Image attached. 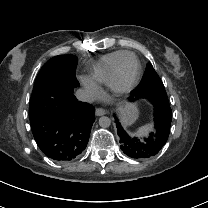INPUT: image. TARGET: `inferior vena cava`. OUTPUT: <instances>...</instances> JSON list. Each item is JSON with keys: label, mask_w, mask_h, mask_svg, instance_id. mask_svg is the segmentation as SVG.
I'll return each mask as SVG.
<instances>
[{"label": "inferior vena cava", "mask_w": 208, "mask_h": 208, "mask_svg": "<svg viewBox=\"0 0 208 208\" xmlns=\"http://www.w3.org/2000/svg\"><path fill=\"white\" fill-rule=\"evenodd\" d=\"M75 95L78 98V100H80V101L92 102V100H93V93L89 90L78 89L76 91Z\"/></svg>", "instance_id": "602c4592"}]
</instances>
